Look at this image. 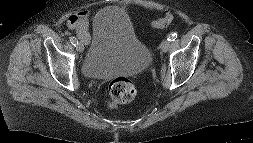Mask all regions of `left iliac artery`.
I'll use <instances>...</instances> for the list:
<instances>
[{
    "label": "left iliac artery",
    "mask_w": 253,
    "mask_h": 143,
    "mask_svg": "<svg viewBox=\"0 0 253 143\" xmlns=\"http://www.w3.org/2000/svg\"><path fill=\"white\" fill-rule=\"evenodd\" d=\"M177 38V33H172L168 38L167 40L172 42V41H175V39Z\"/></svg>",
    "instance_id": "left-iliac-artery-1"
}]
</instances>
